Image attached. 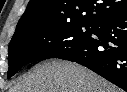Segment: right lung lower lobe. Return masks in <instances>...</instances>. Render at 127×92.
<instances>
[{
  "label": "right lung lower lobe",
  "instance_id": "obj_1",
  "mask_svg": "<svg viewBox=\"0 0 127 92\" xmlns=\"http://www.w3.org/2000/svg\"><path fill=\"white\" fill-rule=\"evenodd\" d=\"M56 58L79 63L127 92V11L100 20L87 40Z\"/></svg>",
  "mask_w": 127,
  "mask_h": 92
}]
</instances>
